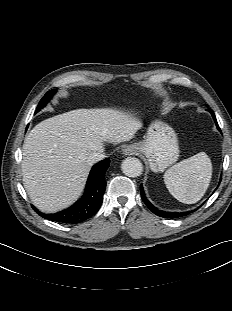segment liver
<instances>
[{"mask_svg": "<svg viewBox=\"0 0 232 311\" xmlns=\"http://www.w3.org/2000/svg\"><path fill=\"white\" fill-rule=\"evenodd\" d=\"M141 122L113 109H77L37 124L23 145L24 187L41 211L57 212L81 195L91 165L87 157L105 143L130 141Z\"/></svg>", "mask_w": 232, "mask_h": 311, "instance_id": "obj_1", "label": "liver"}]
</instances>
